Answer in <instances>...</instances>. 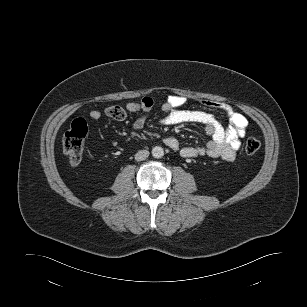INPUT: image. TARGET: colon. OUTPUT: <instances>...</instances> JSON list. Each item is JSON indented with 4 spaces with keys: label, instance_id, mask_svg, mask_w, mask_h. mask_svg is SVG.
Listing matches in <instances>:
<instances>
[{
    "label": "colon",
    "instance_id": "obj_1",
    "mask_svg": "<svg viewBox=\"0 0 307 307\" xmlns=\"http://www.w3.org/2000/svg\"><path fill=\"white\" fill-rule=\"evenodd\" d=\"M87 124L83 119H76L72 122L70 129L65 133L62 145L63 151L73 165L81 162L87 135ZM260 141L256 138H249L245 142V152L249 155L255 154L260 149Z\"/></svg>",
    "mask_w": 307,
    "mask_h": 307
}]
</instances>
